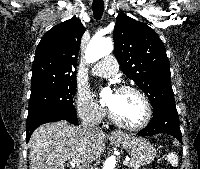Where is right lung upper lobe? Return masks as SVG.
<instances>
[{"label": "right lung upper lobe", "instance_id": "right-lung-upper-lobe-1", "mask_svg": "<svg viewBox=\"0 0 200 169\" xmlns=\"http://www.w3.org/2000/svg\"><path fill=\"white\" fill-rule=\"evenodd\" d=\"M85 28L73 17L50 29L35 51L31 87L75 79L73 69Z\"/></svg>", "mask_w": 200, "mask_h": 169}]
</instances>
